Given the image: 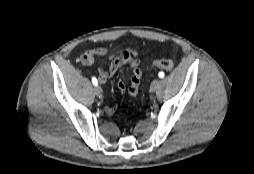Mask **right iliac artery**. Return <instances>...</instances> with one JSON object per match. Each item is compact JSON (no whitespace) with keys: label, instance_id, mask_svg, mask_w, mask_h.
Instances as JSON below:
<instances>
[{"label":"right iliac artery","instance_id":"obj_1","mask_svg":"<svg viewBox=\"0 0 254 174\" xmlns=\"http://www.w3.org/2000/svg\"><path fill=\"white\" fill-rule=\"evenodd\" d=\"M92 83H93L94 86H97L98 81L95 77L92 78Z\"/></svg>","mask_w":254,"mask_h":174}]
</instances>
